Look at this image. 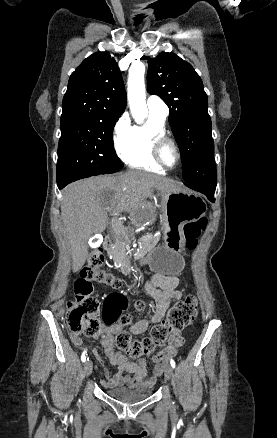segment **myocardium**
I'll return each instance as SVG.
<instances>
[{
    "mask_svg": "<svg viewBox=\"0 0 277 438\" xmlns=\"http://www.w3.org/2000/svg\"><path fill=\"white\" fill-rule=\"evenodd\" d=\"M167 145H171L176 152V161L172 166L168 165L163 159V150ZM152 153L156 163L164 170L175 169L181 160V150L178 143L166 135L157 136L152 139Z\"/></svg>",
    "mask_w": 277,
    "mask_h": 438,
    "instance_id": "obj_1",
    "label": "myocardium"
}]
</instances>
